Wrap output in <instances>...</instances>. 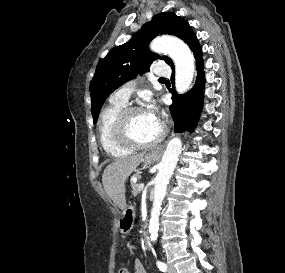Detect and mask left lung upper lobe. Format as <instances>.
Wrapping results in <instances>:
<instances>
[{
    "label": "left lung upper lobe",
    "instance_id": "left-lung-upper-lobe-1",
    "mask_svg": "<svg viewBox=\"0 0 285 273\" xmlns=\"http://www.w3.org/2000/svg\"><path fill=\"white\" fill-rule=\"evenodd\" d=\"M191 26L181 17L171 12L159 13L145 24L141 31L123 45L114 47L97 65L90 83L91 111L97 122L106 98L119 86L134 78L138 73L148 72L151 64L163 59L170 66L172 60L160 57L149 50V43L158 35L170 34L184 42L193 34Z\"/></svg>",
    "mask_w": 285,
    "mask_h": 273
}]
</instances>
